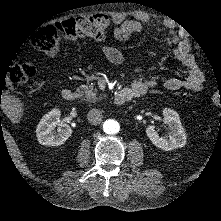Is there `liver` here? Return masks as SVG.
Wrapping results in <instances>:
<instances>
[{
  "label": "liver",
  "instance_id": "liver-1",
  "mask_svg": "<svg viewBox=\"0 0 221 221\" xmlns=\"http://www.w3.org/2000/svg\"><path fill=\"white\" fill-rule=\"evenodd\" d=\"M18 103V101L12 98L4 99L1 103V108L3 112L13 122L19 121V114L21 112V109L18 106Z\"/></svg>",
  "mask_w": 221,
  "mask_h": 221
}]
</instances>
